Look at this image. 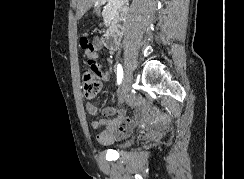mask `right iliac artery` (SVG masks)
I'll return each instance as SVG.
<instances>
[{"label": "right iliac artery", "instance_id": "1", "mask_svg": "<svg viewBox=\"0 0 244 179\" xmlns=\"http://www.w3.org/2000/svg\"><path fill=\"white\" fill-rule=\"evenodd\" d=\"M123 78V69L120 64L117 65V83L120 84Z\"/></svg>", "mask_w": 244, "mask_h": 179}]
</instances>
